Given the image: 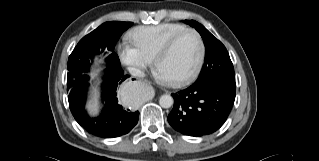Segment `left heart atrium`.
<instances>
[{
  "mask_svg": "<svg viewBox=\"0 0 319 161\" xmlns=\"http://www.w3.org/2000/svg\"><path fill=\"white\" fill-rule=\"evenodd\" d=\"M158 77H159V79H161V80L165 79L160 73H158Z\"/></svg>",
  "mask_w": 319,
  "mask_h": 161,
  "instance_id": "1",
  "label": "left heart atrium"
}]
</instances>
